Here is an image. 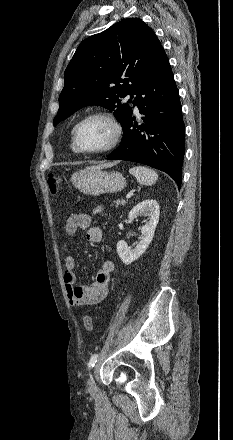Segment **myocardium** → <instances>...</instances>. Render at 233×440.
Returning a JSON list of instances; mask_svg holds the SVG:
<instances>
[{
    "mask_svg": "<svg viewBox=\"0 0 233 440\" xmlns=\"http://www.w3.org/2000/svg\"><path fill=\"white\" fill-rule=\"evenodd\" d=\"M95 118L102 119L111 126L113 132L112 138L109 141V143L102 148L95 150H86L81 148L78 144V131L83 123H85L90 119H95ZM122 135H123V128L119 123V121L117 120V118L111 112L99 110L86 114L75 124L72 130V144L78 153L87 154V155L104 154L112 151L118 145V143L122 138Z\"/></svg>",
    "mask_w": 233,
    "mask_h": 440,
    "instance_id": "myocardium-1",
    "label": "myocardium"
}]
</instances>
